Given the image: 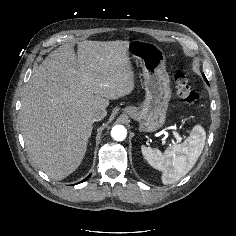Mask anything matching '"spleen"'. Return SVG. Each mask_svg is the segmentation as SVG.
<instances>
[{"instance_id":"obj_1","label":"spleen","mask_w":236,"mask_h":236,"mask_svg":"<svg viewBox=\"0 0 236 236\" xmlns=\"http://www.w3.org/2000/svg\"><path fill=\"white\" fill-rule=\"evenodd\" d=\"M205 139V130L202 126L196 125L184 143L170 146L164 153L146 146H142L141 150L147 162L163 172L162 183L172 184L193 168L203 151Z\"/></svg>"}]
</instances>
